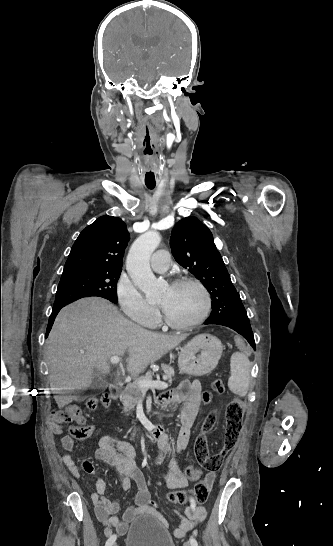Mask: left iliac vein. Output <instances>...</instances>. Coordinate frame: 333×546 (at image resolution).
Masks as SVG:
<instances>
[{
	"label": "left iliac vein",
	"instance_id": "1",
	"mask_svg": "<svg viewBox=\"0 0 333 546\" xmlns=\"http://www.w3.org/2000/svg\"><path fill=\"white\" fill-rule=\"evenodd\" d=\"M184 546H191V544L189 542H185Z\"/></svg>",
	"mask_w": 333,
	"mask_h": 546
}]
</instances>
